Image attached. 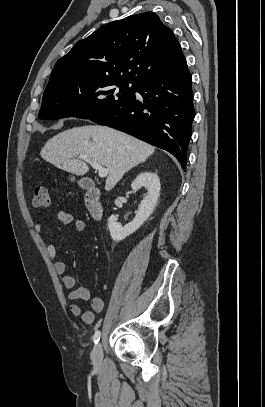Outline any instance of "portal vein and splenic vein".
<instances>
[{"label": "portal vein and splenic vein", "mask_w": 265, "mask_h": 407, "mask_svg": "<svg viewBox=\"0 0 265 407\" xmlns=\"http://www.w3.org/2000/svg\"><path fill=\"white\" fill-rule=\"evenodd\" d=\"M79 158L88 162L92 166L93 169L98 171L99 177L104 178L108 175V170L106 168L102 167L99 163L89 160L88 157L85 155H80Z\"/></svg>", "instance_id": "obj_1"}]
</instances>
